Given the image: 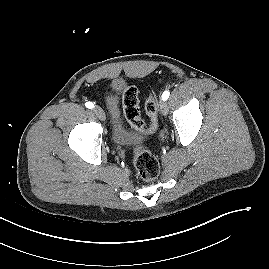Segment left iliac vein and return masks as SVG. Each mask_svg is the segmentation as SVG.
I'll return each mask as SVG.
<instances>
[{
  "instance_id": "obj_1",
  "label": "left iliac vein",
  "mask_w": 269,
  "mask_h": 269,
  "mask_svg": "<svg viewBox=\"0 0 269 269\" xmlns=\"http://www.w3.org/2000/svg\"><path fill=\"white\" fill-rule=\"evenodd\" d=\"M160 112L163 114V115H167L168 113V105H167V102L165 100H162L160 102Z\"/></svg>"
}]
</instances>
